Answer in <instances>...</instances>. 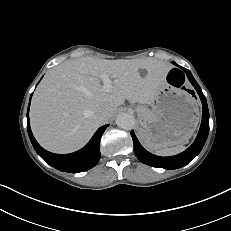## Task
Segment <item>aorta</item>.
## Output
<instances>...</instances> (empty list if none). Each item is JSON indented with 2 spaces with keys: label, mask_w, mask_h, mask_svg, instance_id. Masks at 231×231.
Returning <instances> with one entry per match:
<instances>
[{
  "label": "aorta",
  "mask_w": 231,
  "mask_h": 231,
  "mask_svg": "<svg viewBox=\"0 0 231 231\" xmlns=\"http://www.w3.org/2000/svg\"><path fill=\"white\" fill-rule=\"evenodd\" d=\"M116 124L122 129L131 130L135 125V120L133 116L128 113H120L116 117Z\"/></svg>",
  "instance_id": "1"
}]
</instances>
